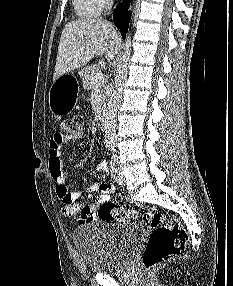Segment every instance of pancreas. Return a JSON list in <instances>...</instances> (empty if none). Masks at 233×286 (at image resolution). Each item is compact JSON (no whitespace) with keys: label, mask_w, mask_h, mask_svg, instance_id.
<instances>
[{"label":"pancreas","mask_w":233,"mask_h":286,"mask_svg":"<svg viewBox=\"0 0 233 286\" xmlns=\"http://www.w3.org/2000/svg\"><path fill=\"white\" fill-rule=\"evenodd\" d=\"M99 72H100V69L98 67H96L95 65L94 66H88V67L81 69L79 74L83 80L85 89H91L93 87V85L95 83L93 77L95 75H97ZM104 87H105L104 83H102L100 85L101 94H102L101 102H103V100H104V95H103L104 94Z\"/></svg>","instance_id":"cf45deb5"}]
</instances>
